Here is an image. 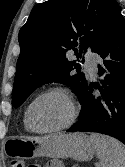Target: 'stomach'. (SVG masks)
Segmentation results:
<instances>
[{
  "instance_id": "stomach-1",
  "label": "stomach",
  "mask_w": 125,
  "mask_h": 167,
  "mask_svg": "<svg viewBox=\"0 0 125 167\" xmlns=\"http://www.w3.org/2000/svg\"><path fill=\"white\" fill-rule=\"evenodd\" d=\"M12 150L8 154L26 159L49 157L54 159L73 158L79 161L91 160L95 146L84 133L52 134L44 137H13L9 141Z\"/></svg>"
}]
</instances>
